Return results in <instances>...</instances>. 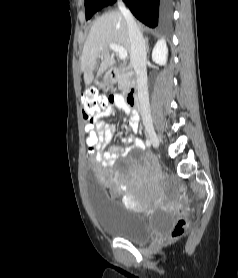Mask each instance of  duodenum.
I'll return each instance as SVG.
<instances>
[{"label": "duodenum", "mask_w": 238, "mask_h": 278, "mask_svg": "<svg viewBox=\"0 0 238 278\" xmlns=\"http://www.w3.org/2000/svg\"><path fill=\"white\" fill-rule=\"evenodd\" d=\"M122 72V69L120 68H112L108 72V79L111 82H115L118 77L120 76ZM126 102L130 106H136L138 104V97H137V88L135 86H132L127 94H126Z\"/></svg>", "instance_id": "obj_1"}]
</instances>
